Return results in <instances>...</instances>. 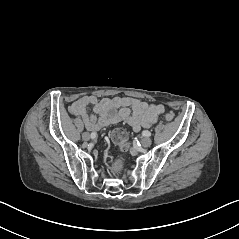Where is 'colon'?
I'll use <instances>...</instances> for the list:
<instances>
[{"mask_svg": "<svg viewBox=\"0 0 239 239\" xmlns=\"http://www.w3.org/2000/svg\"><path fill=\"white\" fill-rule=\"evenodd\" d=\"M166 121H172L174 119L173 112H167L165 115ZM112 141L122 150L125 151L128 148V134L122 128H116L111 133ZM123 167V160L121 158L114 162V170L120 171Z\"/></svg>", "mask_w": 239, "mask_h": 239, "instance_id": "5ec220e1", "label": "colon"}]
</instances>
